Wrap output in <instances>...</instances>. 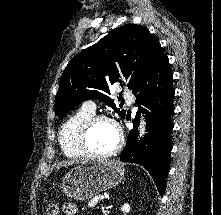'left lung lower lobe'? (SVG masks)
<instances>
[{"label":"left lung lower lobe","mask_w":221,"mask_h":215,"mask_svg":"<svg viewBox=\"0 0 221 215\" xmlns=\"http://www.w3.org/2000/svg\"><path fill=\"white\" fill-rule=\"evenodd\" d=\"M173 74L168 58L160 61L132 91L136 96V103L144 105L148 132L144 138L137 141L136 127L139 117L133 121L134 129L130 131L126 146L120 155L123 162H131L144 166L157 188L163 195L170 164L172 150L171 131L173 124L171 115L174 112L172 87ZM141 109V108H139Z\"/></svg>","instance_id":"0a47b994"}]
</instances>
